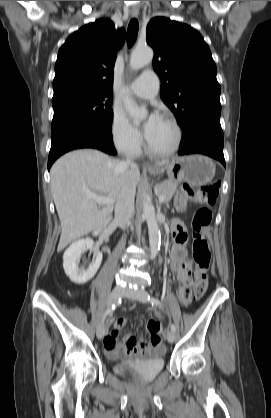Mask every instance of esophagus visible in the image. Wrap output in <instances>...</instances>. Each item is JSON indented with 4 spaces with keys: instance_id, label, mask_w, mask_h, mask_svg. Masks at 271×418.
<instances>
[{
    "instance_id": "1",
    "label": "esophagus",
    "mask_w": 271,
    "mask_h": 418,
    "mask_svg": "<svg viewBox=\"0 0 271 418\" xmlns=\"http://www.w3.org/2000/svg\"><path fill=\"white\" fill-rule=\"evenodd\" d=\"M138 15H139V10H138L137 8H132V9H131V16H132L133 18H137V17H138Z\"/></svg>"
}]
</instances>
